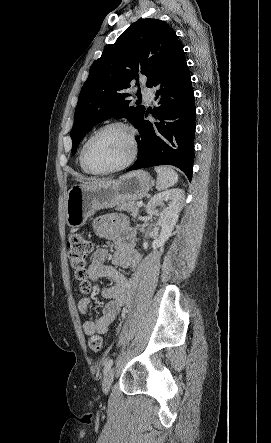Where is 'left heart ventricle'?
<instances>
[{"label":"left heart ventricle","mask_w":271,"mask_h":443,"mask_svg":"<svg viewBox=\"0 0 271 443\" xmlns=\"http://www.w3.org/2000/svg\"><path fill=\"white\" fill-rule=\"evenodd\" d=\"M131 149L128 133L109 128L98 135L88 148V160L96 168L106 169L121 164Z\"/></svg>","instance_id":"obj_1"}]
</instances>
